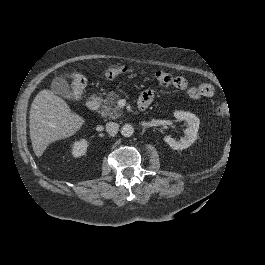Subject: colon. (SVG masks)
I'll use <instances>...</instances> for the list:
<instances>
[{"instance_id": "5ec220e1", "label": "colon", "mask_w": 265, "mask_h": 265, "mask_svg": "<svg viewBox=\"0 0 265 265\" xmlns=\"http://www.w3.org/2000/svg\"><path fill=\"white\" fill-rule=\"evenodd\" d=\"M127 70L126 66H118V67H112L109 68L106 71V75L110 78L115 77L123 72H125ZM72 83H71V97L73 99H78L85 87L86 84V80L84 78L83 75H81L80 73H72L70 75ZM154 77L156 79V81L158 82V84L162 85V86H166L169 85L172 78L171 75L168 72L165 71H157L154 74ZM229 105H227L226 103H220L217 107H216V113L220 116H225L229 113Z\"/></svg>"}]
</instances>
